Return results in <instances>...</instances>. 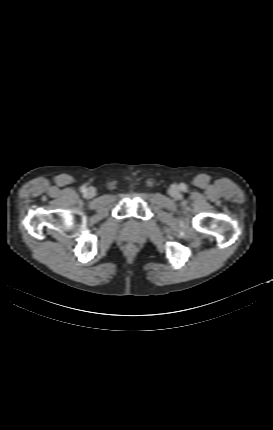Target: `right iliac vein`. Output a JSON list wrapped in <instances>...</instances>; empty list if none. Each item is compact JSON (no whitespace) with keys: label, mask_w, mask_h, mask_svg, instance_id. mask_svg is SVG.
<instances>
[{"label":"right iliac vein","mask_w":273,"mask_h":430,"mask_svg":"<svg viewBox=\"0 0 273 430\" xmlns=\"http://www.w3.org/2000/svg\"><path fill=\"white\" fill-rule=\"evenodd\" d=\"M96 195V189L94 187H90L87 189L86 196L88 198H93Z\"/></svg>","instance_id":"1"}]
</instances>
